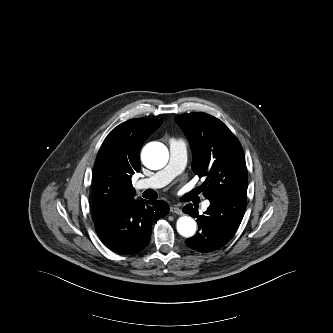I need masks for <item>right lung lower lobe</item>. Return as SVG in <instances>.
<instances>
[{"instance_id":"98d812e1","label":"right lung lower lobe","mask_w":333,"mask_h":333,"mask_svg":"<svg viewBox=\"0 0 333 333\" xmlns=\"http://www.w3.org/2000/svg\"><path fill=\"white\" fill-rule=\"evenodd\" d=\"M169 212L162 200L147 201L132 198L108 211L94 212L96 232L110 250L132 254L144 249L151 236L152 223Z\"/></svg>"}]
</instances>
